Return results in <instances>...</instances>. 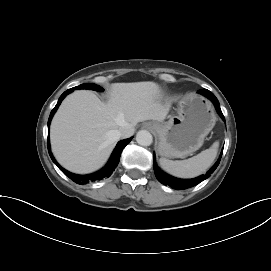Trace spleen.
I'll list each match as a JSON object with an SVG mask.
<instances>
[{
  "mask_svg": "<svg viewBox=\"0 0 271 271\" xmlns=\"http://www.w3.org/2000/svg\"><path fill=\"white\" fill-rule=\"evenodd\" d=\"M219 142H214L213 145L201 153L187 160L172 161L166 158H160L161 167L169 174L178 178H194L203 174L214 162Z\"/></svg>",
  "mask_w": 271,
  "mask_h": 271,
  "instance_id": "obj_1",
  "label": "spleen"
}]
</instances>
